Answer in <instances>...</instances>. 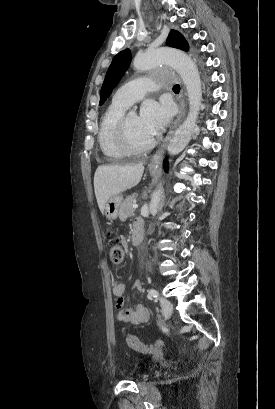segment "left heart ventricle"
Wrapping results in <instances>:
<instances>
[{
	"label": "left heart ventricle",
	"instance_id": "obj_1",
	"mask_svg": "<svg viewBox=\"0 0 275 409\" xmlns=\"http://www.w3.org/2000/svg\"><path fill=\"white\" fill-rule=\"evenodd\" d=\"M128 128L131 140L136 146H145L153 139V137L144 130L140 123L139 117L136 115H129Z\"/></svg>",
	"mask_w": 275,
	"mask_h": 409
}]
</instances>
